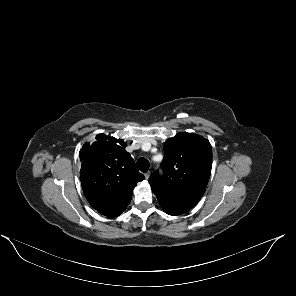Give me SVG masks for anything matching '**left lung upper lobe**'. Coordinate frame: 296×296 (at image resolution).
Instances as JSON below:
<instances>
[{"instance_id":"obj_1","label":"left lung upper lobe","mask_w":296,"mask_h":296,"mask_svg":"<svg viewBox=\"0 0 296 296\" xmlns=\"http://www.w3.org/2000/svg\"><path fill=\"white\" fill-rule=\"evenodd\" d=\"M163 177L155 171L149 178L160 205L170 215L192 209L203 196L212 168V147L208 140L180 133L164 143Z\"/></svg>"}]
</instances>
